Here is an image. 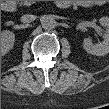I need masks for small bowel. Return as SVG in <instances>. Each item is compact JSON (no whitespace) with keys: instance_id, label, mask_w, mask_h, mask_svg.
Instances as JSON below:
<instances>
[{"instance_id":"1","label":"small bowel","mask_w":109,"mask_h":109,"mask_svg":"<svg viewBox=\"0 0 109 109\" xmlns=\"http://www.w3.org/2000/svg\"><path fill=\"white\" fill-rule=\"evenodd\" d=\"M93 4H97V2H92V1H80V2H78V5H80V6H89V5H93Z\"/></svg>"}]
</instances>
